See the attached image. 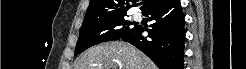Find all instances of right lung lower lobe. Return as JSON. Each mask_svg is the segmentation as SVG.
Masks as SVG:
<instances>
[{"mask_svg": "<svg viewBox=\"0 0 246 69\" xmlns=\"http://www.w3.org/2000/svg\"><path fill=\"white\" fill-rule=\"evenodd\" d=\"M153 21L149 29L140 25L120 39L144 52L160 69H183L184 14L179 0H163L142 11ZM147 31L146 37L142 32Z\"/></svg>", "mask_w": 246, "mask_h": 69, "instance_id": "right-lung-lower-lobe-1", "label": "right lung lower lobe"}]
</instances>
